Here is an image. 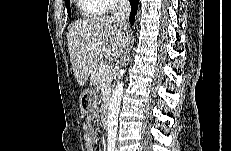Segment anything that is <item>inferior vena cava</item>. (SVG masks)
Returning <instances> with one entry per match:
<instances>
[{"label": "inferior vena cava", "instance_id": "1", "mask_svg": "<svg viewBox=\"0 0 231 151\" xmlns=\"http://www.w3.org/2000/svg\"><path fill=\"white\" fill-rule=\"evenodd\" d=\"M130 14V4L128 0H117L116 9L112 18L117 20L124 28H127L126 19Z\"/></svg>", "mask_w": 231, "mask_h": 151}]
</instances>
